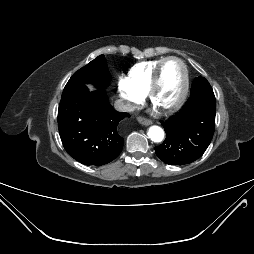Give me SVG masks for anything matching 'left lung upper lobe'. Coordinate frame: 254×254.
I'll list each match as a JSON object with an SVG mask.
<instances>
[{"mask_svg":"<svg viewBox=\"0 0 254 254\" xmlns=\"http://www.w3.org/2000/svg\"><path fill=\"white\" fill-rule=\"evenodd\" d=\"M191 100L211 99L216 100L213 89L209 82L203 77H197L191 85Z\"/></svg>","mask_w":254,"mask_h":254,"instance_id":"5c2ea615","label":"left lung upper lobe"}]
</instances>
